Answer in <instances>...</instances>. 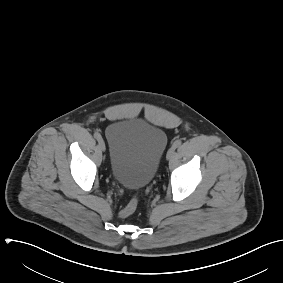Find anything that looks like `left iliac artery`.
I'll return each mask as SVG.
<instances>
[{"label":"left iliac artery","mask_w":283,"mask_h":283,"mask_svg":"<svg viewBox=\"0 0 283 283\" xmlns=\"http://www.w3.org/2000/svg\"><path fill=\"white\" fill-rule=\"evenodd\" d=\"M181 140H176L174 143H173V147L176 149L177 147H179L181 145Z\"/></svg>","instance_id":"obj_1"}]
</instances>
